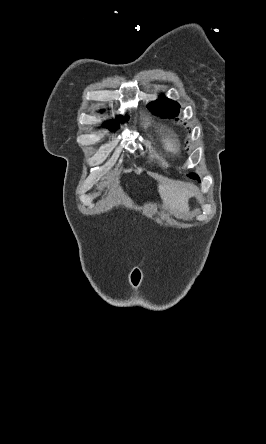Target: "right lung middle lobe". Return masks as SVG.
<instances>
[{
  "mask_svg": "<svg viewBox=\"0 0 266 444\" xmlns=\"http://www.w3.org/2000/svg\"><path fill=\"white\" fill-rule=\"evenodd\" d=\"M117 119L124 121L126 119V117L118 116ZM105 124L108 128H110L112 130H116L118 128V124L116 121H109V122H106Z\"/></svg>",
  "mask_w": 266,
  "mask_h": 444,
  "instance_id": "1",
  "label": "right lung middle lobe"
}]
</instances>
